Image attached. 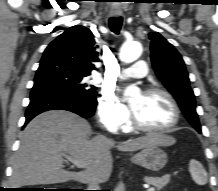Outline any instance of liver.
I'll return each mask as SVG.
<instances>
[{"mask_svg": "<svg viewBox=\"0 0 218 191\" xmlns=\"http://www.w3.org/2000/svg\"><path fill=\"white\" fill-rule=\"evenodd\" d=\"M91 133L89 123L74 113L51 110L38 115L22 132L13 160L11 185L19 188L71 180L88 183L94 174L98 175L100 183L106 182L112 172L110 149L115 147V142L102 135L88 140ZM175 142L171 136L149 134L116 147L120 151H136L150 145L171 146ZM63 154L85 162V170H65Z\"/></svg>", "mask_w": 218, "mask_h": 191, "instance_id": "1", "label": "liver"}]
</instances>
